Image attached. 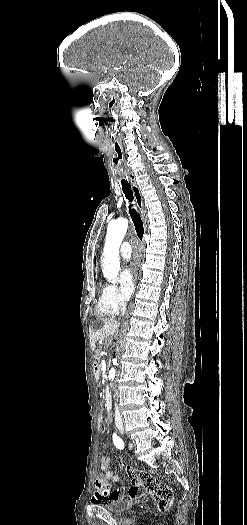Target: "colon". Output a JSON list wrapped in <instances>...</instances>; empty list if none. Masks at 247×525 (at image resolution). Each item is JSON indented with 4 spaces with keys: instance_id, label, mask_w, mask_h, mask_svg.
Wrapping results in <instances>:
<instances>
[{
    "instance_id": "1",
    "label": "colon",
    "mask_w": 247,
    "mask_h": 525,
    "mask_svg": "<svg viewBox=\"0 0 247 525\" xmlns=\"http://www.w3.org/2000/svg\"><path fill=\"white\" fill-rule=\"evenodd\" d=\"M95 424H96V426L98 427V430H99L100 432L105 431V424H106V421H105L104 418H102V417L97 418L96 421H95Z\"/></svg>"
}]
</instances>
